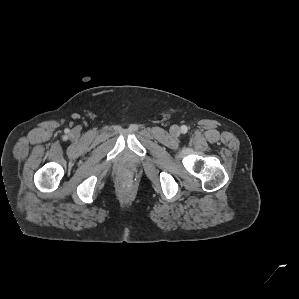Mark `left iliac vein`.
Returning <instances> with one entry per match:
<instances>
[{"instance_id": "left-iliac-vein-1", "label": "left iliac vein", "mask_w": 299, "mask_h": 299, "mask_svg": "<svg viewBox=\"0 0 299 299\" xmlns=\"http://www.w3.org/2000/svg\"><path fill=\"white\" fill-rule=\"evenodd\" d=\"M179 133H180V128L176 125L172 126L171 134L174 136H177V135H179Z\"/></svg>"}]
</instances>
